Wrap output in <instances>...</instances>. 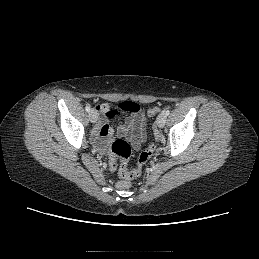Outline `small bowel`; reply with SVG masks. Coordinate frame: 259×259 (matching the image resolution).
Returning <instances> with one entry per match:
<instances>
[{"label":"small bowel","instance_id":"c3829d8e","mask_svg":"<svg viewBox=\"0 0 259 259\" xmlns=\"http://www.w3.org/2000/svg\"><path fill=\"white\" fill-rule=\"evenodd\" d=\"M99 111V121L94 134V141L99 149H105L114 136L115 131L109 125V121L120 114L119 111L113 109L110 104L102 103L97 105ZM144 126L145 117L140 107L136 112H131V116L126 118L116 130V135L123 138H128L135 149H138L144 141Z\"/></svg>","mask_w":259,"mask_h":259}]
</instances>
